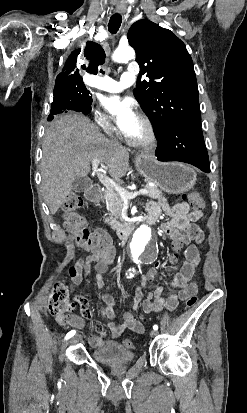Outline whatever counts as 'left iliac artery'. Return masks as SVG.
<instances>
[{"label":"left iliac artery","instance_id":"obj_1","mask_svg":"<svg viewBox=\"0 0 247 413\" xmlns=\"http://www.w3.org/2000/svg\"><path fill=\"white\" fill-rule=\"evenodd\" d=\"M153 329H154V330H158V326H157V325H154V326H153Z\"/></svg>","mask_w":247,"mask_h":413}]
</instances>
